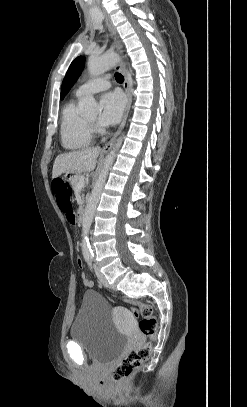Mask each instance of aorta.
<instances>
[{"label": "aorta", "instance_id": "762f6f07", "mask_svg": "<svg viewBox=\"0 0 247 407\" xmlns=\"http://www.w3.org/2000/svg\"><path fill=\"white\" fill-rule=\"evenodd\" d=\"M120 57L114 53H106L102 56H91L88 60V71L91 76H98L106 72L115 66ZM84 109L87 113L100 111V107L97 104L94 97L89 96L84 99ZM122 137H119L111 150L107 155L102 169L98 173L97 180L93 186L92 192L87 199V204L82 220V253L84 256H89L91 254V247L89 244L88 234L93 221V217L96 211V207L99 203L100 196L106 182L109 170L115 160L116 153L122 144Z\"/></svg>", "mask_w": 247, "mask_h": 407}]
</instances>
